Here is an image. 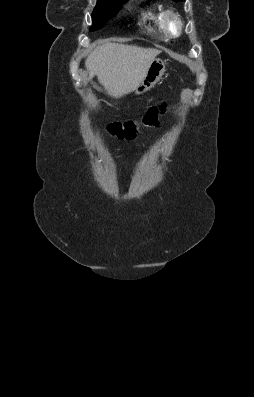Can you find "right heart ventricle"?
<instances>
[{"label":"right heart ventricle","instance_id":"obj_1","mask_svg":"<svg viewBox=\"0 0 254 397\" xmlns=\"http://www.w3.org/2000/svg\"><path fill=\"white\" fill-rule=\"evenodd\" d=\"M162 14L163 11L154 7H148L144 12V17L152 25L153 29L159 33H165L162 26Z\"/></svg>","mask_w":254,"mask_h":397}]
</instances>
